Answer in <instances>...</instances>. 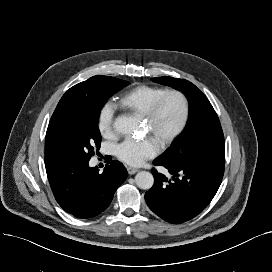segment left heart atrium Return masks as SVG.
<instances>
[{
    "label": "left heart atrium",
    "instance_id": "left-heart-atrium-1",
    "mask_svg": "<svg viewBox=\"0 0 272 272\" xmlns=\"http://www.w3.org/2000/svg\"><path fill=\"white\" fill-rule=\"evenodd\" d=\"M116 156L130 166H140L158 153V147L150 140L128 138L118 144Z\"/></svg>",
    "mask_w": 272,
    "mask_h": 272
}]
</instances>
